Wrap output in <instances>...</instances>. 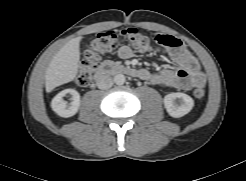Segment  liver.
<instances>
[{
    "label": "liver",
    "mask_w": 246,
    "mask_h": 181,
    "mask_svg": "<svg viewBox=\"0 0 246 181\" xmlns=\"http://www.w3.org/2000/svg\"><path fill=\"white\" fill-rule=\"evenodd\" d=\"M81 39L79 36L68 41L51 60L45 74L46 92L73 81L77 76Z\"/></svg>",
    "instance_id": "liver-1"
}]
</instances>
